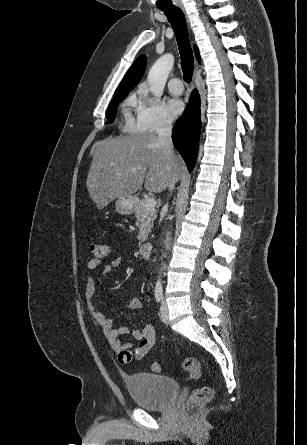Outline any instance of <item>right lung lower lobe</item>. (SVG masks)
<instances>
[{
    "label": "right lung lower lobe",
    "instance_id": "right-lung-lower-lobe-1",
    "mask_svg": "<svg viewBox=\"0 0 307 445\" xmlns=\"http://www.w3.org/2000/svg\"><path fill=\"white\" fill-rule=\"evenodd\" d=\"M200 127V97L194 90L186 110L172 131L173 144L186 162L189 171H192L195 165Z\"/></svg>",
    "mask_w": 307,
    "mask_h": 445
}]
</instances>
